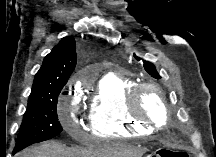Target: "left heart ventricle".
I'll list each match as a JSON object with an SVG mask.
<instances>
[{
  "label": "left heart ventricle",
  "mask_w": 216,
  "mask_h": 157,
  "mask_svg": "<svg viewBox=\"0 0 216 157\" xmlns=\"http://www.w3.org/2000/svg\"><path fill=\"white\" fill-rule=\"evenodd\" d=\"M141 105L146 114L151 116L157 123H163L164 113L156 92L146 90L142 96Z\"/></svg>",
  "instance_id": "1"
}]
</instances>
